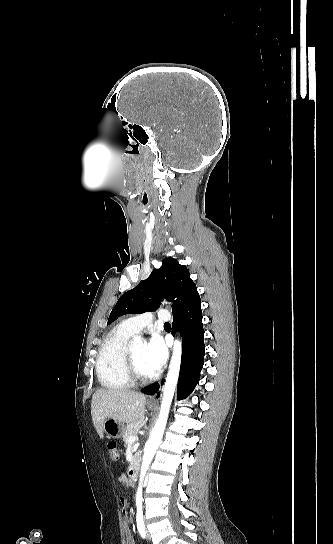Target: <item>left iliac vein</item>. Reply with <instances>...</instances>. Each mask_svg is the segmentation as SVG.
Returning <instances> with one entry per match:
<instances>
[{"label": "left iliac vein", "mask_w": 333, "mask_h": 544, "mask_svg": "<svg viewBox=\"0 0 333 544\" xmlns=\"http://www.w3.org/2000/svg\"><path fill=\"white\" fill-rule=\"evenodd\" d=\"M147 538L150 539V533L147 531Z\"/></svg>", "instance_id": "left-iliac-vein-1"}]
</instances>
